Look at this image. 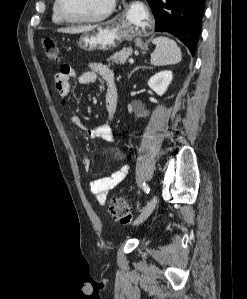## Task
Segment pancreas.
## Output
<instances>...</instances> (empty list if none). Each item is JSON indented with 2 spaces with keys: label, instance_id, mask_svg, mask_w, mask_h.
Returning a JSON list of instances; mask_svg holds the SVG:
<instances>
[{
  "label": "pancreas",
  "instance_id": "pancreas-1",
  "mask_svg": "<svg viewBox=\"0 0 247 299\" xmlns=\"http://www.w3.org/2000/svg\"><path fill=\"white\" fill-rule=\"evenodd\" d=\"M131 50L123 49L118 53L113 54L110 58L109 61H112V65L119 64V63H124L127 58L131 55Z\"/></svg>",
  "mask_w": 247,
  "mask_h": 299
}]
</instances>
